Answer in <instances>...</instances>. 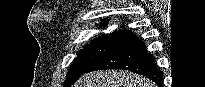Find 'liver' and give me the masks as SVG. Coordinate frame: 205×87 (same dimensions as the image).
<instances>
[{
  "mask_svg": "<svg viewBox=\"0 0 205 87\" xmlns=\"http://www.w3.org/2000/svg\"><path fill=\"white\" fill-rule=\"evenodd\" d=\"M73 87H156V84L131 72L101 70L84 74Z\"/></svg>",
  "mask_w": 205,
  "mask_h": 87,
  "instance_id": "obj_1",
  "label": "liver"
}]
</instances>
